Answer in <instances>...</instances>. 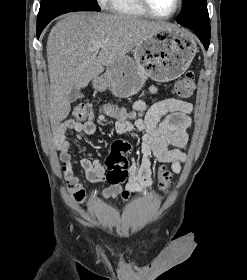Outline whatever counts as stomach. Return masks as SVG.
<instances>
[{
    "label": "stomach",
    "instance_id": "obj_1",
    "mask_svg": "<svg viewBox=\"0 0 247 280\" xmlns=\"http://www.w3.org/2000/svg\"><path fill=\"white\" fill-rule=\"evenodd\" d=\"M196 53L197 45L185 30L163 29L141 41L133 50V58L125 55L108 65L104 76L94 79L93 86L128 98L140 91L148 77L157 82L178 78Z\"/></svg>",
    "mask_w": 247,
    "mask_h": 280
}]
</instances>
